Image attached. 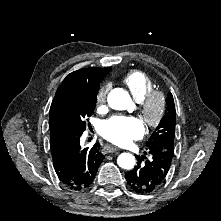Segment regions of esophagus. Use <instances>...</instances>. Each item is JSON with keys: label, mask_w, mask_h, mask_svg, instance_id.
Segmentation results:
<instances>
[{"label": "esophagus", "mask_w": 221, "mask_h": 221, "mask_svg": "<svg viewBox=\"0 0 221 221\" xmlns=\"http://www.w3.org/2000/svg\"><path fill=\"white\" fill-rule=\"evenodd\" d=\"M118 150H119V148L115 147V146H111V145H105L104 146V151L108 152V153L116 152Z\"/></svg>", "instance_id": "34e87169"}]
</instances>
